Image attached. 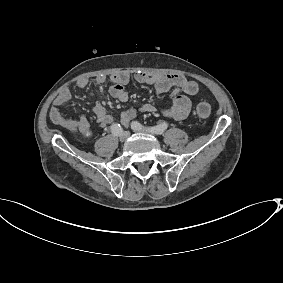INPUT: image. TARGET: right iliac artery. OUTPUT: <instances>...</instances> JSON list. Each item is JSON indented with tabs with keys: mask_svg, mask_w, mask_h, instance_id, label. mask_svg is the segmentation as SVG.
<instances>
[{
	"mask_svg": "<svg viewBox=\"0 0 283 283\" xmlns=\"http://www.w3.org/2000/svg\"><path fill=\"white\" fill-rule=\"evenodd\" d=\"M111 132L115 135V136H119L122 132H123V129L122 127L120 126V124H113L111 125Z\"/></svg>",
	"mask_w": 283,
	"mask_h": 283,
	"instance_id": "obj_1",
	"label": "right iliac artery"
}]
</instances>
